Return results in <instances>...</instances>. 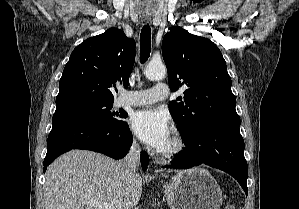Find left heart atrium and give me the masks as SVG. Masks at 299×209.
<instances>
[{
  "label": "left heart atrium",
  "mask_w": 299,
  "mask_h": 209,
  "mask_svg": "<svg viewBox=\"0 0 299 209\" xmlns=\"http://www.w3.org/2000/svg\"><path fill=\"white\" fill-rule=\"evenodd\" d=\"M130 125L144 143L155 149H161L170 138L169 118L161 109L146 108L134 112Z\"/></svg>",
  "instance_id": "obj_1"
}]
</instances>
